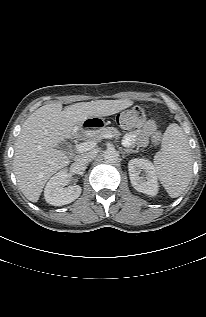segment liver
<instances>
[{
    "label": "liver",
    "mask_w": 206,
    "mask_h": 317,
    "mask_svg": "<svg viewBox=\"0 0 206 317\" xmlns=\"http://www.w3.org/2000/svg\"><path fill=\"white\" fill-rule=\"evenodd\" d=\"M131 100L79 102L62 109L60 103L38 108L23 123L15 144L13 168L19 189L35 203L48 179L69 165L57 146L71 138L74 128L90 117L116 114L133 105Z\"/></svg>",
    "instance_id": "1"
}]
</instances>
